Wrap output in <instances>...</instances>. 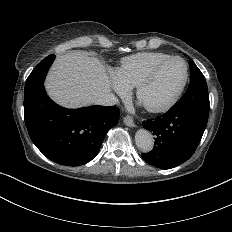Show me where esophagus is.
I'll return each mask as SVG.
<instances>
[{
    "label": "esophagus",
    "instance_id": "34e87169",
    "mask_svg": "<svg viewBox=\"0 0 232 232\" xmlns=\"http://www.w3.org/2000/svg\"><path fill=\"white\" fill-rule=\"evenodd\" d=\"M124 124L129 126V127H136L134 120L131 116H125L123 118Z\"/></svg>",
    "mask_w": 232,
    "mask_h": 232
}]
</instances>
